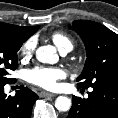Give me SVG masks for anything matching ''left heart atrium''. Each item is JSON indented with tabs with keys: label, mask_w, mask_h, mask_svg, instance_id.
Returning a JSON list of instances; mask_svg holds the SVG:
<instances>
[{
	"label": "left heart atrium",
	"mask_w": 118,
	"mask_h": 118,
	"mask_svg": "<svg viewBox=\"0 0 118 118\" xmlns=\"http://www.w3.org/2000/svg\"><path fill=\"white\" fill-rule=\"evenodd\" d=\"M65 78V72L57 67H35L26 73L28 82L47 90L58 87V81Z\"/></svg>",
	"instance_id": "obj_1"
}]
</instances>
